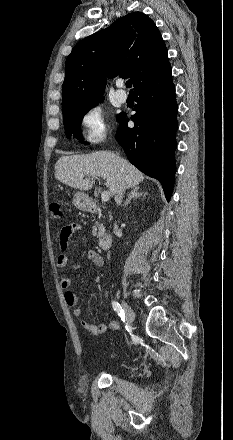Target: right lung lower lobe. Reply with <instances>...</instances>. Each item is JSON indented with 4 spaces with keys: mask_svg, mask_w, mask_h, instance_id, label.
<instances>
[{
    "mask_svg": "<svg viewBox=\"0 0 233 440\" xmlns=\"http://www.w3.org/2000/svg\"><path fill=\"white\" fill-rule=\"evenodd\" d=\"M137 105L129 128L123 113L116 140L129 161L140 171L159 180L169 201L175 174L174 151L177 103L171 66L134 89Z\"/></svg>",
    "mask_w": 233,
    "mask_h": 440,
    "instance_id": "1",
    "label": "right lung lower lobe"
}]
</instances>
